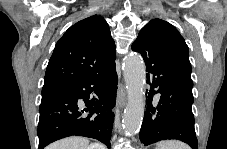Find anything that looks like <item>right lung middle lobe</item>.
<instances>
[{
    "label": "right lung middle lobe",
    "instance_id": "right-lung-middle-lobe-1",
    "mask_svg": "<svg viewBox=\"0 0 227 149\" xmlns=\"http://www.w3.org/2000/svg\"><path fill=\"white\" fill-rule=\"evenodd\" d=\"M59 88H49V89H42V100L49 97L52 93H54Z\"/></svg>",
    "mask_w": 227,
    "mask_h": 149
}]
</instances>
